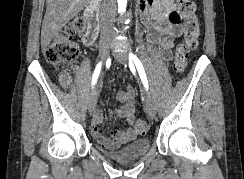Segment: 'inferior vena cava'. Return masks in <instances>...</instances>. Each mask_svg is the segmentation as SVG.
I'll use <instances>...</instances> for the list:
<instances>
[{"label":"inferior vena cava","mask_w":244,"mask_h":179,"mask_svg":"<svg viewBox=\"0 0 244 179\" xmlns=\"http://www.w3.org/2000/svg\"><path fill=\"white\" fill-rule=\"evenodd\" d=\"M110 16H115V10H112ZM112 26H113V24H111V22H108V24H106V26H103V28H101V32H108V30H110V32H111Z\"/></svg>","instance_id":"602c4592"}]
</instances>
